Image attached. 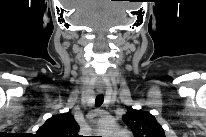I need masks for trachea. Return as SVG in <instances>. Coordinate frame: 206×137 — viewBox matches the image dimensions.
<instances>
[{
	"instance_id": "trachea-1",
	"label": "trachea",
	"mask_w": 206,
	"mask_h": 137,
	"mask_svg": "<svg viewBox=\"0 0 206 137\" xmlns=\"http://www.w3.org/2000/svg\"><path fill=\"white\" fill-rule=\"evenodd\" d=\"M103 101H104V96H103V95H98V96L96 97V100H95L96 106H97V107L101 106L102 103H103Z\"/></svg>"
}]
</instances>
